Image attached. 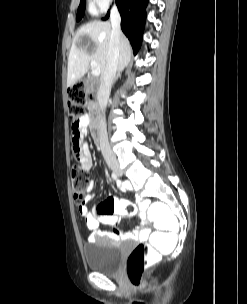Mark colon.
Listing matches in <instances>:
<instances>
[{"mask_svg": "<svg viewBox=\"0 0 247 304\" xmlns=\"http://www.w3.org/2000/svg\"><path fill=\"white\" fill-rule=\"evenodd\" d=\"M93 96L87 95L84 86L78 83L68 89V113L73 122H78L84 114V104ZM74 199L81 205L86 196L89 176L80 165H75L71 176ZM136 207L126 201L108 198L96 209L98 217L111 216L116 213L132 216ZM150 224L154 227V235L150 244L141 243L129 254L126 271L130 283L139 287L142 284L143 273L147 265L157 259V253H173L174 244L178 242V230L181 225L177 214H172L166 202H151L148 208Z\"/></svg>", "mask_w": 247, "mask_h": 304, "instance_id": "1", "label": "colon"}]
</instances>
